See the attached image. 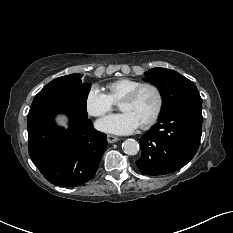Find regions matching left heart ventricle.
<instances>
[{"mask_svg": "<svg viewBox=\"0 0 233 233\" xmlns=\"http://www.w3.org/2000/svg\"><path fill=\"white\" fill-rule=\"evenodd\" d=\"M156 107L157 95L150 87L143 88L133 101L120 103V109L133 114L140 124L146 122L153 115Z\"/></svg>", "mask_w": 233, "mask_h": 233, "instance_id": "left-heart-ventricle-1", "label": "left heart ventricle"}]
</instances>
